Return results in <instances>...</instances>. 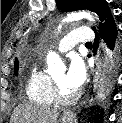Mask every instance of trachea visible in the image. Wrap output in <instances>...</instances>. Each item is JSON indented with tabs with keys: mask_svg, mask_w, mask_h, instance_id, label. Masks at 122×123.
Instances as JSON below:
<instances>
[{
	"mask_svg": "<svg viewBox=\"0 0 122 123\" xmlns=\"http://www.w3.org/2000/svg\"><path fill=\"white\" fill-rule=\"evenodd\" d=\"M91 45H92L91 42L86 43V46H91Z\"/></svg>",
	"mask_w": 122,
	"mask_h": 123,
	"instance_id": "obj_1",
	"label": "trachea"
}]
</instances>
